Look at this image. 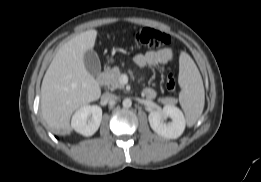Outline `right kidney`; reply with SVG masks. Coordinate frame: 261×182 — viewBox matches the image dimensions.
<instances>
[{
    "mask_svg": "<svg viewBox=\"0 0 261 182\" xmlns=\"http://www.w3.org/2000/svg\"><path fill=\"white\" fill-rule=\"evenodd\" d=\"M102 120V109L97 105H85L72 116V128L84 135L92 136L99 128Z\"/></svg>",
    "mask_w": 261,
    "mask_h": 182,
    "instance_id": "ca27d5eb",
    "label": "right kidney"
}]
</instances>
